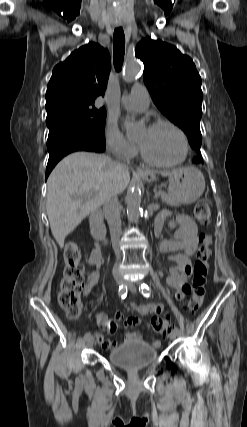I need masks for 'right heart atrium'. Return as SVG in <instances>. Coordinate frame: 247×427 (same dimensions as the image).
<instances>
[{
	"label": "right heart atrium",
	"instance_id": "obj_1",
	"mask_svg": "<svg viewBox=\"0 0 247 427\" xmlns=\"http://www.w3.org/2000/svg\"><path fill=\"white\" fill-rule=\"evenodd\" d=\"M104 141L107 149L115 156L129 159L136 153V145L128 140L112 121L104 128Z\"/></svg>",
	"mask_w": 247,
	"mask_h": 427
}]
</instances>
